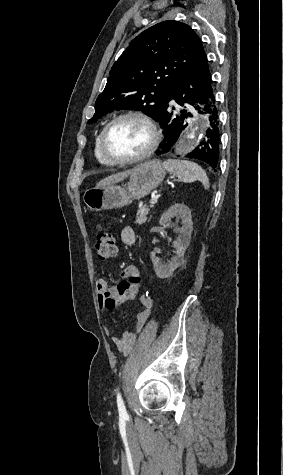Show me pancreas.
Instances as JSON below:
<instances>
[{"label":"pancreas","instance_id":"1","mask_svg":"<svg viewBox=\"0 0 283 475\" xmlns=\"http://www.w3.org/2000/svg\"><path fill=\"white\" fill-rule=\"evenodd\" d=\"M149 212V206H143V208H140L136 216V224H139V226H141V224H145L147 220L146 216L149 214Z\"/></svg>","mask_w":283,"mask_h":475}]
</instances>
